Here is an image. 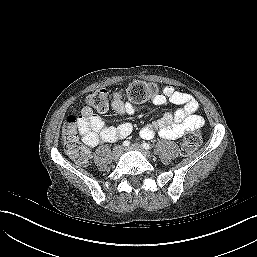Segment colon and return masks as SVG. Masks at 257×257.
<instances>
[{"mask_svg": "<svg viewBox=\"0 0 257 257\" xmlns=\"http://www.w3.org/2000/svg\"><path fill=\"white\" fill-rule=\"evenodd\" d=\"M124 95L134 102H143L158 95V88L154 83L134 81L124 89ZM109 107V94L106 89H99L86 100V108L92 112L105 113ZM80 116L71 114L65 123V147L69 157L78 164H85L89 160L88 149L79 141L77 125ZM202 141L198 131L186 136L181 144L183 155H190L197 150Z\"/></svg>", "mask_w": 257, "mask_h": 257, "instance_id": "obj_1", "label": "colon"}]
</instances>
